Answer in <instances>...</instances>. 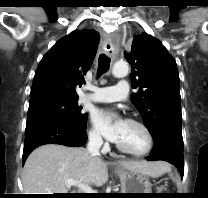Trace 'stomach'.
<instances>
[{
    "mask_svg": "<svg viewBox=\"0 0 208 198\" xmlns=\"http://www.w3.org/2000/svg\"><path fill=\"white\" fill-rule=\"evenodd\" d=\"M121 181V193H151L152 184L147 175L138 172L117 170ZM126 197H144L143 194H126Z\"/></svg>",
    "mask_w": 208,
    "mask_h": 198,
    "instance_id": "1",
    "label": "stomach"
}]
</instances>
